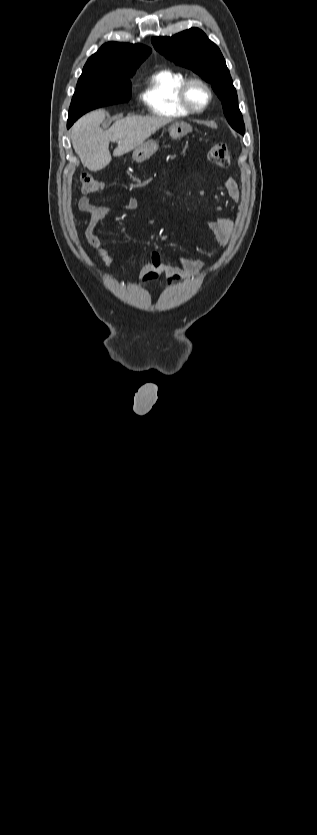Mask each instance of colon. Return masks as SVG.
Returning a JSON list of instances; mask_svg holds the SVG:
<instances>
[{"instance_id":"1","label":"colon","mask_w":317,"mask_h":835,"mask_svg":"<svg viewBox=\"0 0 317 835\" xmlns=\"http://www.w3.org/2000/svg\"><path fill=\"white\" fill-rule=\"evenodd\" d=\"M209 159L220 167H227L231 163V153L226 144L214 143L208 152ZM81 190L83 193H98L103 190L104 185L102 181L90 174H82L80 177ZM179 278L178 275H173L168 279L173 282Z\"/></svg>"}]
</instances>
